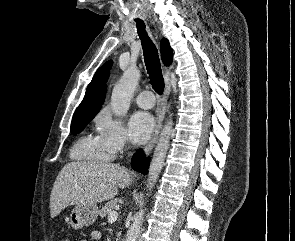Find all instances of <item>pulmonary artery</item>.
I'll return each mask as SVG.
<instances>
[{
  "label": "pulmonary artery",
  "instance_id": "obj_1",
  "mask_svg": "<svg viewBox=\"0 0 295 241\" xmlns=\"http://www.w3.org/2000/svg\"><path fill=\"white\" fill-rule=\"evenodd\" d=\"M136 103L139 107L150 109L155 105V97L151 91H143L136 97Z\"/></svg>",
  "mask_w": 295,
  "mask_h": 241
}]
</instances>
